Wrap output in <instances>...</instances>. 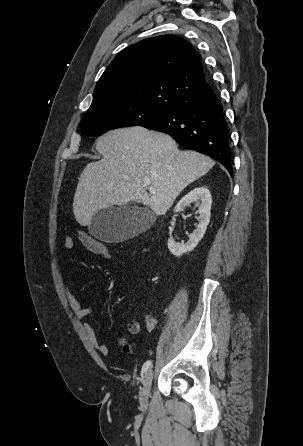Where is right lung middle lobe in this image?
<instances>
[{
    "label": "right lung middle lobe",
    "mask_w": 303,
    "mask_h": 446,
    "mask_svg": "<svg viewBox=\"0 0 303 446\" xmlns=\"http://www.w3.org/2000/svg\"><path fill=\"white\" fill-rule=\"evenodd\" d=\"M168 110L169 108L155 107L144 103L103 105L87 111L82 120V132L89 136H99L117 128L141 126Z\"/></svg>",
    "instance_id": "1"
}]
</instances>
